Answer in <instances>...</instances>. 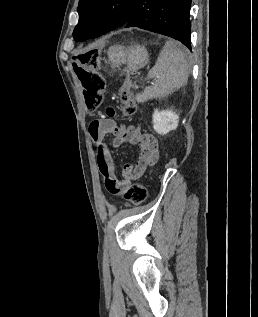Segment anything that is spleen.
<instances>
[{
  "label": "spleen",
  "mask_w": 258,
  "mask_h": 317,
  "mask_svg": "<svg viewBox=\"0 0 258 317\" xmlns=\"http://www.w3.org/2000/svg\"><path fill=\"white\" fill-rule=\"evenodd\" d=\"M189 62L186 52L177 46L174 40H166L158 60L149 70V78H155L153 86H146L144 92L136 94L137 102H145L148 98H163L184 86L188 80Z\"/></svg>",
  "instance_id": "obj_1"
}]
</instances>
